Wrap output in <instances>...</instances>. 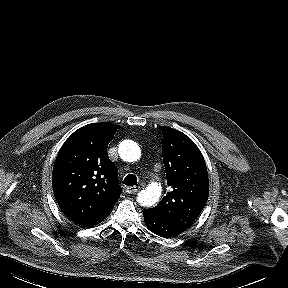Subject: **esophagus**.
I'll list each match as a JSON object with an SVG mask.
<instances>
[{
  "label": "esophagus",
  "instance_id": "esophagus-1",
  "mask_svg": "<svg viewBox=\"0 0 288 288\" xmlns=\"http://www.w3.org/2000/svg\"><path fill=\"white\" fill-rule=\"evenodd\" d=\"M139 190H140L139 186H130V187L126 188V192L128 194H134V193L138 192Z\"/></svg>",
  "mask_w": 288,
  "mask_h": 288
}]
</instances>
